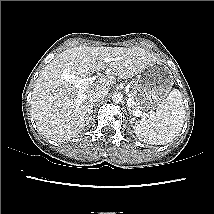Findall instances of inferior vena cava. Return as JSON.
Returning a JSON list of instances; mask_svg holds the SVG:
<instances>
[{"instance_id":"1","label":"inferior vena cava","mask_w":214,"mask_h":214,"mask_svg":"<svg viewBox=\"0 0 214 214\" xmlns=\"http://www.w3.org/2000/svg\"><path fill=\"white\" fill-rule=\"evenodd\" d=\"M107 94H108V89L106 87H100L91 94L90 100L92 103L100 102L104 99V97Z\"/></svg>"}]
</instances>
